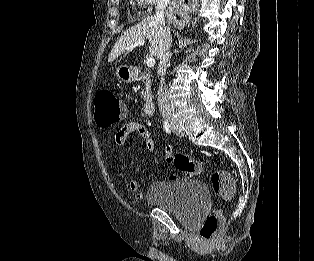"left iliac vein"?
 <instances>
[{
  "label": "left iliac vein",
  "mask_w": 314,
  "mask_h": 261,
  "mask_svg": "<svg viewBox=\"0 0 314 261\" xmlns=\"http://www.w3.org/2000/svg\"><path fill=\"white\" fill-rule=\"evenodd\" d=\"M172 126V130L173 132L178 135V136H184V130L182 129V127H180L178 124H176L175 122L171 123Z\"/></svg>",
  "instance_id": "obj_1"
}]
</instances>
